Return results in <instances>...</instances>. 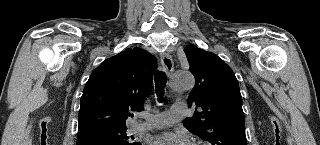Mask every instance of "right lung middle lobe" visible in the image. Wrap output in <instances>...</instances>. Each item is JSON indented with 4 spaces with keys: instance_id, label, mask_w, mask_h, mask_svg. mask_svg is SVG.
Segmentation results:
<instances>
[{
    "instance_id": "right-lung-middle-lobe-1",
    "label": "right lung middle lobe",
    "mask_w": 320,
    "mask_h": 145,
    "mask_svg": "<svg viewBox=\"0 0 320 145\" xmlns=\"http://www.w3.org/2000/svg\"><path fill=\"white\" fill-rule=\"evenodd\" d=\"M127 127L122 128H104L89 132L80 138H97L112 143L113 145H141L140 143L133 142V136H128Z\"/></svg>"
}]
</instances>
